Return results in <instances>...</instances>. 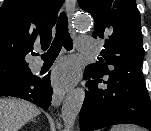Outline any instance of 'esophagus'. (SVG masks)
I'll list each match as a JSON object with an SVG mask.
<instances>
[{"label":"esophagus","instance_id":"34e87169","mask_svg":"<svg viewBox=\"0 0 151 131\" xmlns=\"http://www.w3.org/2000/svg\"><path fill=\"white\" fill-rule=\"evenodd\" d=\"M76 0H67V13L68 17L71 18L75 12ZM64 92L55 91L52 96V105L59 106L64 98Z\"/></svg>","mask_w":151,"mask_h":131}]
</instances>
